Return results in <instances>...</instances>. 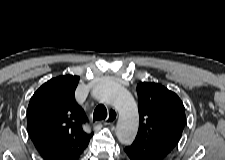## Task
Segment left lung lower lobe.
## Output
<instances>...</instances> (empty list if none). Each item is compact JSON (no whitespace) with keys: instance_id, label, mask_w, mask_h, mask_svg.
<instances>
[{"instance_id":"0a47b994","label":"left lung lower lobe","mask_w":225,"mask_h":160,"mask_svg":"<svg viewBox=\"0 0 225 160\" xmlns=\"http://www.w3.org/2000/svg\"><path fill=\"white\" fill-rule=\"evenodd\" d=\"M126 157L128 160H150L149 158L139 154L138 152L132 150L130 147L124 148Z\"/></svg>"}]
</instances>
